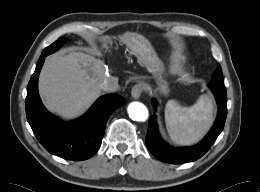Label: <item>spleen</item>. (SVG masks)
I'll use <instances>...</instances> for the list:
<instances>
[{"label":"spleen","mask_w":260,"mask_h":192,"mask_svg":"<svg viewBox=\"0 0 260 192\" xmlns=\"http://www.w3.org/2000/svg\"><path fill=\"white\" fill-rule=\"evenodd\" d=\"M213 101L202 95L190 107H182L171 100L165 107V123L170 138L181 145H190L201 139L213 123Z\"/></svg>","instance_id":"3e777b00"}]
</instances>
